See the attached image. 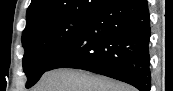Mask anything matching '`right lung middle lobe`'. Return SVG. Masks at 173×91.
<instances>
[{
    "instance_id": "right-lung-middle-lobe-1",
    "label": "right lung middle lobe",
    "mask_w": 173,
    "mask_h": 91,
    "mask_svg": "<svg viewBox=\"0 0 173 91\" xmlns=\"http://www.w3.org/2000/svg\"><path fill=\"white\" fill-rule=\"evenodd\" d=\"M93 14L89 12L44 20L24 29L23 70L28 77L27 88L34 85L52 61L73 42Z\"/></svg>"
}]
</instances>
